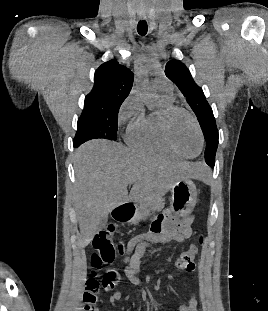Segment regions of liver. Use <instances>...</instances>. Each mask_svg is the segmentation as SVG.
Returning a JSON list of instances; mask_svg holds the SVG:
<instances>
[{
	"mask_svg": "<svg viewBox=\"0 0 268 311\" xmlns=\"http://www.w3.org/2000/svg\"><path fill=\"white\" fill-rule=\"evenodd\" d=\"M75 210L80 235L87 246L112 209L127 202L160 199L186 178H201L202 163L172 162L130 151L108 140H90L75 152ZM133 184L128 195V185Z\"/></svg>",
	"mask_w": 268,
	"mask_h": 311,
	"instance_id": "obj_1",
	"label": "liver"
}]
</instances>
